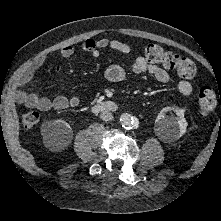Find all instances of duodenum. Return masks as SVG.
Listing matches in <instances>:
<instances>
[{"mask_svg":"<svg viewBox=\"0 0 221 221\" xmlns=\"http://www.w3.org/2000/svg\"><path fill=\"white\" fill-rule=\"evenodd\" d=\"M116 108V104L111 101H103L92 107V109L96 112H113Z\"/></svg>","mask_w":221,"mask_h":221,"instance_id":"1","label":"duodenum"}]
</instances>
